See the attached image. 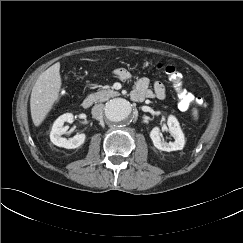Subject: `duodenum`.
I'll return each instance as SVG.
<instances>
[{"label":"duodenum","mask_w":243,"mask_h":243,"mask_svg":"<svg viewBox=\"0 0 243 243\" xmlns=\"http://www.w3.org/2000/svg\"><path fill=\"white\" fill-rule=\"evenodd\" d=\"M93 104V100L91 98H85L83 101H82V107L84 109H88L92 106Z\"/></svg>","instance_id":"duodenum-1"}]
</instances>
